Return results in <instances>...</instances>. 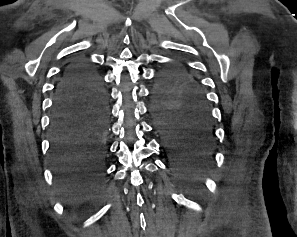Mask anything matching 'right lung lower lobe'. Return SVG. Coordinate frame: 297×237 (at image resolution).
Segmentation results:
<instances>
[{
    "instance_id": "right-lung-lower-lobe-1",
    "label": "right lung lower lobe",
    "mask_w": 297,
    "mask_h": 237,
    "mask_svg": "<svg viewBox=\"0 0 297 237\" xmlns=\"http://www.w3.org/2000/svg\"><path fill=\"white\" fill-rule=\"evenodd\" d=\"M107 97L98 74L85 62L70 64L56 87L51 158L60 173L102 174Z\"/></svg>"
}]
</instances>
